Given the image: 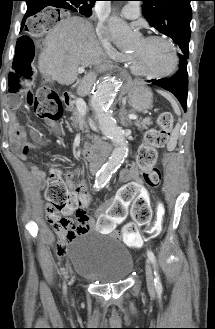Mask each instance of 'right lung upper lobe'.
<instances>
[{"label":"right lung upper lobe","mask_w":215,"mask_h":329,"mask_svg":"<svg viewBox=\"0 0 215 329\" xmlns=\"http://www.w3.org/2000/svg\"><path fill=\"white\" fill-rule=\"evenodd\" d=\"M42 1H45V3L43 4V8H45L47 6L63 8V6L67 0H42ZM83 1H85L88 4L93 5L96 0H83Z\"/></svg>","instance_id":"1"}]
</instances>
